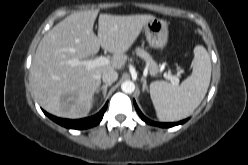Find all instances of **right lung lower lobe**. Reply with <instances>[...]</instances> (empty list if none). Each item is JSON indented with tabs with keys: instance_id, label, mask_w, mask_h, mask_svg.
I'll return each instance as SVG.
<instances>
[{
	"instance_id": "98d812e1",
	"label": "right lung lower lobe",
	"mask_w": 248,
	"mask_h": 165,
	"mask_svg": "<svg viewBox=\"0 0 248 165\" xmlns=\"http://www.w3.org/2000/svg\"><path fill=\"white\" fill-rule=\"evenodd\" d=\"M107 109V104L103 107V109L96 115L89 117V118H84V119H78V120H70V119H62V118H57L55 116H52L46 112H44L50 119L55 121L56 123L70 129H86L93 127L97 124L100 123V121L103 118V115Z\"/></svg>"
}]
</instances>
